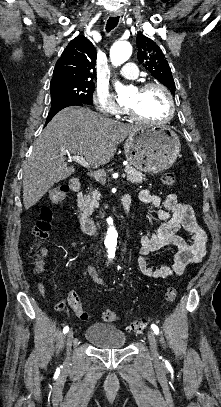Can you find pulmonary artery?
<instances>
[{
    "instance_id": "e3ab8cb5",
    "label": "pulmonary artery",
    "mask_w": 221,
    "mask_h": 407,
    "mask_svg": "<svg viewBox=\"0 0 221 407\" xmlns=\"http://www.w3.org/2000/svg\"><path fill=\"white\" fill-rule=\"evenodd\" d=\"M120 74L126 78H136L137 77V68L136 65L132 62H126L122 67Z\"/></svg>"
}]
</instances>
